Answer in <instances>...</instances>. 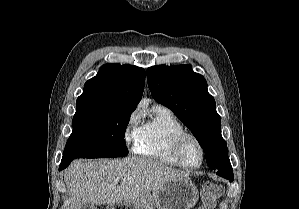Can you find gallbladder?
I'll list each match as a JSON object with an SVG mask.
<instances>
[{"label":"gallbladder","instance_id":"1","mask_svg":"<svg viewBox=\"0 0 299 209\" xmlns=\"http://www.w3.org/2000/svg\"><path fill=\"white\" fill-rule=\"evenodd\" d=\"M81 209H96L95 205L91 204L90 202L83 203Z\"/></svg>","mask_w":299,"mask_h":209}]
</instances>
